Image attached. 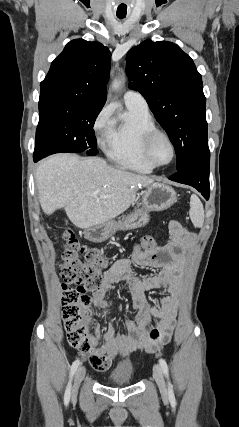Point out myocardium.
I'll list each match as a JSON object with an SVG mask.
<instances>
[{
    "label": "myocardium",
    "instance_id": "1",
    "mask_svg": "<svg viewBox=\"0 0 239 427\" xmlns=\"http://www.w3.org/2000/svg\"><path fill=\"white\" fill-rule=\"evenodd\" d=\"M158 138H164L171 148V158L168 162L164 164H159L155 162L151 156L152 146ZM142 154L146 162L150 164L153 168H161L170 165L174 161L176 157V146L168 133L156 128L154 130L149 131L144 136L142 143Z\"/></svg>",
    "mask_w": 239,
    "mask_h": 427
}]
</instances>
